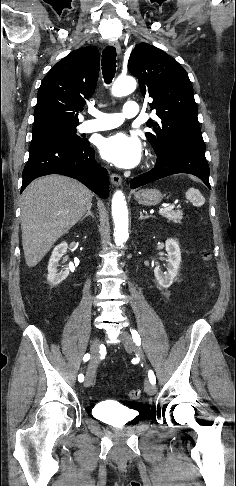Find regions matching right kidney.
Masks as SVG:
<instances>
[{
    "instance_id": "right-kidney-1",
    "label": "right kidney",
    "mask_w": 236,
    "mask_h": 486,
    "mask_svg": "<svg viewBox=\"0 0 236 486\" xmlns=\"http://www.w3.org/2000/svg\"><path fill=\"white\" fill-rule=\"evenodd\" d=\"M68 244L62 242L57 245L52 252L48 264V275L47 280L52 286L60 284L69 275V270L58 273L57 267L59 266V261L61 257L67 252Z\"/></svg>"
}]
</instances>
